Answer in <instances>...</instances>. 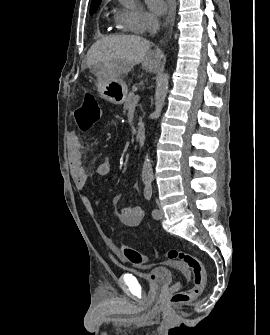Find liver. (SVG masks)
I'll return each mask as SVG.
<instances>
[{"label":"liver","mask_w":270,"mask_h":335,"mask_svg":"<svg viewBox=\"0 0 270 335\" xmlns=\"http://www.w3.org/2000/svg\"><path fill=\"white\" fill-rule=\"evenodd\" d=\"M151 42L140 36H106L89 48L86 66L93 72H105L111 80H120L121 74L131 72L143 62L144 70L152 72L153 60L145 58Z\"/></svg>","instance_id":"6515ba94"}]
</instances>
